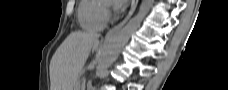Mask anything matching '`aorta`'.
I'll return each mask as SVG.
<instances>
[{
  "instance_id": "1",
  "label": "aorta",
  "mask_w": 228,
  "mask_h": 90,
  "mask_svg": "<svg viewBox=\"0 0 228 90\" xmlns=\"http://www.w3.org/2000/svg\"><path fill=\"white\" fill-rule=\"evenodd\" d=\"M153 0H142L138 14L120 31L106 38L98 58L97 71L100 73L108 68L119 56L121 49L127 44L131 34L137 30L150 11Z\"/></svg>"
}]
</instances>
